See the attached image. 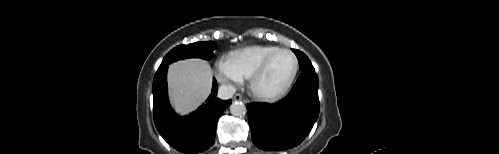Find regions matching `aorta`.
Here are the masks:
<instances>
[{"label":"aorta","instance_id":"1","mask_svg":"<svg viewBox=\"0 0 499 154\" xmlns=\"http://www.w3.org/2000/svg\"><path fill=\"white\" fill-rule=\"evenodd\" d=\"M246 111V106L239 101L232 103L230 106V113L233 116H243L245 115Z\"/></svg>","mask_w":499,"mask_h":154}]
</instances>
